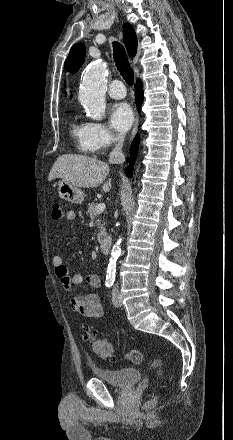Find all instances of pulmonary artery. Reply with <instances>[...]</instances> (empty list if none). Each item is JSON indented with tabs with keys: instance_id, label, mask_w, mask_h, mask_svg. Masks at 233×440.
<instances>
[{
	"instance_id": "pulmonary-artery-1",
	"label": "pulmonary artery",
	"mask_w": 233,
	"mask_h": 440,
	"mask_svg": "<svg viewBox=\"0 0 233 440\" xmlns=\"http://www.w3.org/2000/svg\"><path fill=\"white\" fill-rule=\"evenodd\" d=\"M108 94L115 99H122L126 95V90L120 80L112 81L108 86Z\"/></svg>"
}]
</instances>
